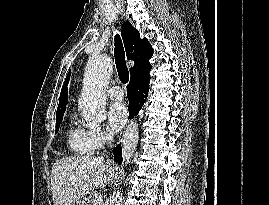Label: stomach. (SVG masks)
<instances>
[{
    "label": "stomach",
    "mask_w": 269,
    "mask_h": 205,
    "mask_svg": "<svg viewBox=\"0 0 269 205\" xmlns=\"http://www.w3.org/2000/svg\"><path fill=\"white\" fill-rule=\"evenodd\" d=\"M74 205H85L83 200L76 201Z\"/></svg>",
    "instance_id": "1"
}]
</instances>
